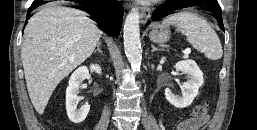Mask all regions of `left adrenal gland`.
<instances>
[{
  "instance_id": "left-adrenal-gland-1",
  "label": "left adrenal gland",
  "mask_w": 257,
  "mask_h": 130,
  "mask_svg": "<svg viewBox=\"0 0 257 130\" xmlns=\"http://www.w3.org/2000/svg\"><path fill=\"white\" fill-rule=\"evenodd\" d=\"M151 47H152L151 52H155V51H159V50H164V49H159V48L155 47L154 45H151Z\"/></svg>"
}]
</instances>
